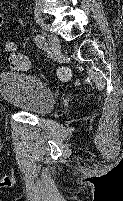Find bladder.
<instances>
[{
    "label": "bladder",
    "instance_id": "bladder-1",
    "mask_svg": "<svg viewBox=\"0 0 123 201\" xmlns=\"http://www.w3.org/2000/svg\"><path fill=\"white\" fill-rule=\"evenodd\" d=\"M0 93L10 106L36 116L48 114L55 106L53 92L38 77L28 73H2Z\"/></svg>",
    "mask_w": 123,
    "mask_h": 201
}]
</instances>
